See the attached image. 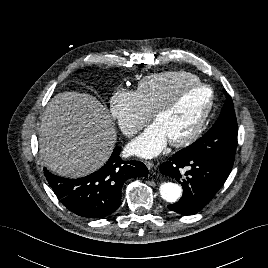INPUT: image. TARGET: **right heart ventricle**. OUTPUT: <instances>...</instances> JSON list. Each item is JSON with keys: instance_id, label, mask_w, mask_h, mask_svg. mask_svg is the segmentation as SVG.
Returning a JSON list of instances; mask_svg holds the SVG:
<instances>
[{"instance_id": "e07e8e85", "label": "right heart ventricle", "mask_w": 268, "mask_h": 268, "mask_svg": "<svg viewBox=\"0 0 268 268\" xmlns=\"http://www.w3.org/2000/svg\"><path fill=\"white\" fill-rule=\"evenodd\" d=\"M195 74L182 70H169L142 78L137 87L146 109L152 114L163 105L178 87L199 82Z\"/></svg>"}]
</instances>
